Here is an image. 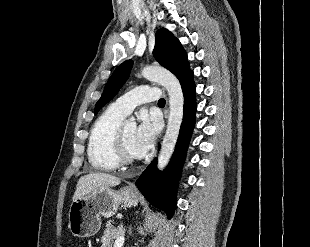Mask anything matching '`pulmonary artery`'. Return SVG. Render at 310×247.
Instances as JSON below:
<instances>
[{
	"label": "pulmonary artery",
	"instance_id": "obj_1",
	"mask_svg": "<svg viewBox=\"0 0 310 247\" xmlns=\"http://www.w3.org/2000/svg\"><path fill=\"white\" fill-rule=\"evenodd\" d=\"M160 89L148 85H141L119 97L112 105L124 115H128L132 110L145 102L159 100Z\"/></svg>",
	"mask_w": 310,
	"mask_h": 247
}]
</instances>
